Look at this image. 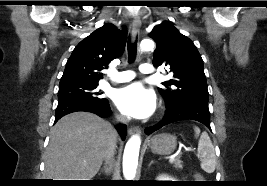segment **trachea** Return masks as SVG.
I'll use <instances>...</instances> for the list:
<instances>
[{
  "instance_id": "obj_1",
  "label": "trachea",
  "mask_w": 267,
  "mask_h": 186,
  "mask_svg": "<svg viewBox=\"0 0 267 186\" xmlns=\"http://www.w3.org/2000/svg\"><path fill=\"white\" fill-rule=\"evenodd\" d=\"M127 50H128V59L129 62L132 63L134 62L136 58V53H137V40L134 42H131L130 38L127 43Z\"/></svg>"
}]
</instances>
